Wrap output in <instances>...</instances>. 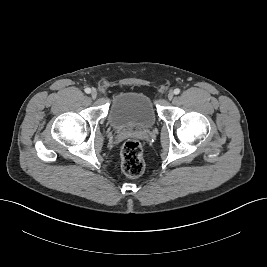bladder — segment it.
Listing matches in <instances>:
<instances>
[{
    "label": "bladder",
    "mask_w": 267,
    "mask_h": 267,
    "mask_svg": "<svg viewBox=\"0 0 267 267\" xmlns=\"http://www.w3.org/2000/svg\"><path fill=\"white\" fill-rule=\"evenodd\" d=\"M156 110L151 97L142 91L117 93L108 111L109 123L119 129H145L156 121Z\"/></svg>",
    "instance_id": "bladder-1"
}]
</instances>
